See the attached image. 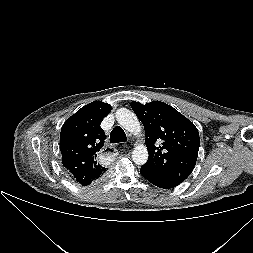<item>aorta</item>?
I'll use <instances>...</instances> for the list:
<instances>
[{"instance_id": "obj_1", "label": "aorta", "mask_w": 253, "mask_h": 253, "mask_svg": "<svg viewBox=\"0 0 253 253\" xmlns=\"http://www.w3.org/2000/svg\"><path fill=\"white\" fill-rule=\"evenodd\" d=\"M116 120L119 125L128 132L138 135L141 133V125L137 116L126 108H120L116 111ZM148 151L146 146L138 145L132 152V160L137 165H143L147 162Z\"/></svg>"}]
</instances>
